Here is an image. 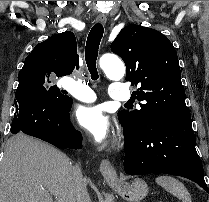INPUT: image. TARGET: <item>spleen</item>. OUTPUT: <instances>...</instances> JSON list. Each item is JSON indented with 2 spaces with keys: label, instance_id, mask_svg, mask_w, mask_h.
<instances>
[{
  "label": "spleen",
  "instance_id": "1",
  "mask_svg": "<svg viewBox=\"0 0 209 202\" xmlns=\"http://www.w3.org/2000/svg\"><path fill=\"white\" fill-rule=\"evenodd\" d=\"M156 183L163 187L167 192L180 199L182 202H192L191 196L186 187L176 178L171 176H158Z\"/></svg>",
  "mask_w": 209,
  "mask_h": 202
}]
</instances>
